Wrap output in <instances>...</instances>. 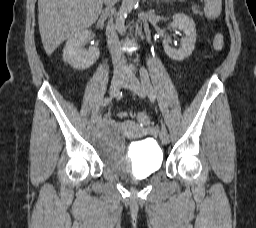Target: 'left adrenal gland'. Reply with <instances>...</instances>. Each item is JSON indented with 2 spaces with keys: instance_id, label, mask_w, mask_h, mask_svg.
I'll return each instance as SVG.
<instances>
[{
  "instance_id": "1",
  "label": "left adrenal gland",
  "mask_w": 256,
  "mask_h": 228,
  "mask_svg": "<svg viewBox=\"0 0 256 228\" xmlns=\"http://www.w3.org/2000/svg\"><path fill=\"white\" fill-rule=\"evenodd\" d=\"M153 1H155V0H153ZM156 2H159V0H156Z\"/></svg>"
}]
</instances>
